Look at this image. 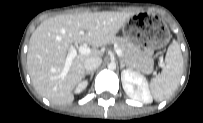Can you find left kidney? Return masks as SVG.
<instances>
[{
    "instance_id": "1",
    "label": "left kidney",
    "mask_w": 203,
    "mask_h": 123,
    "mask_svg": "<svg viewBox=\"0 0 203 123\" xmlns=\"http://www.w3.org/2000/svg\"><path fill=\"white\" fill-rule=\"evenodd\" d=\"M121 81L125 93L133 100L149 104L152 96L148 88L147 79L139 72L125 69L121 72Z\"/></svg>"
}]
</instances>
